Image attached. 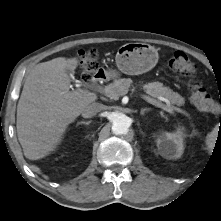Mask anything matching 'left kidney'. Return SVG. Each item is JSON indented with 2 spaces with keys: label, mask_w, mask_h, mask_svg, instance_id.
Segmentation results:
<instances>
[{
  "label": "left kidney",
  "mask_w": 221,
  "mask_h": 221,
  "mask_svg": "<svg viewBox=\"0 0 221 221\" xmlns=\"http://www.w3.org/2000/svg\"><path fill=\"white\" fill-rule=\"evenodd\" d=\"M183 128H177L173 133L163 132L157 139V148L162 157L166 159H177L184 151Z\"/></svg>",
  "instance_id": "obj_1"
}]
</instances>
